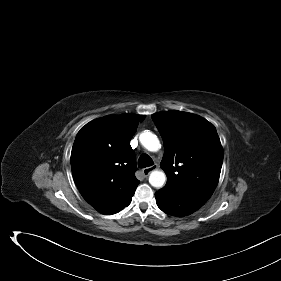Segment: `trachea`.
Returning <instances> with one entry per match:
<instances>
[{
  "mask_svg": "<svg viewBox=\"0 0 281 281\" xmlns=\"http://www.w3.org/2000/svg\"><path fill=\"white\" fill-rule=\"evenodd\" d=\"M153 164H154V162H153L152 158L147 154L141 155L138 159L139 168L149 167V166H152Z\"/></svg>",
  "mask_w": 281,
  "mask_h": 281,
  "instance_id": "1",
  "label": "trachea"
}]
</instances>
